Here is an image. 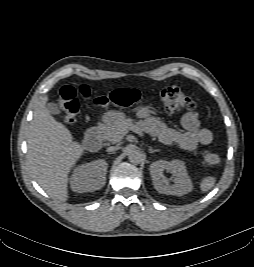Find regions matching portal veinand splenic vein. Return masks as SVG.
Returning a JSON list of instances; mask_svg holds the SVG:
<instances>
[{"label": "portal vein and splenic vein", "instance_id": "1", "mask_svg": "<svg viewBox=\"0 0 254 267\" xmlns=\"http://www.w3.org/2000/svg\"><path fill=\"white\" fill-rule=\"evenodd\" d=\"M129 129L132 130L133 132L139 134L140 136H143V133L138 126L132 125Z\"/></svg>", "mask_w": 254, "mask_h": 267}]
</instances>
